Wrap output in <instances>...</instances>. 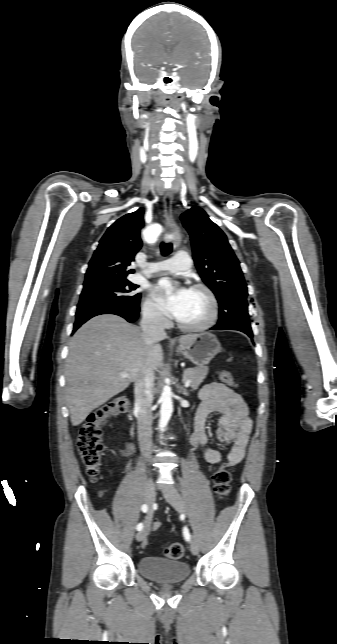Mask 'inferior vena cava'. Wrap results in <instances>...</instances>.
Returning <instances> with one entry per match:
<instances>
[{"label": "inferior vena cava", "instance_id": "1", "mask_svg": "<svg viewBox=\"0 0 337 644\" xmlns=\"http://www.w3.org/2000/svg\"><path fill=\"white\" fill-rule=\"evenodd\" d=\"M161 313L149 310L144 312L141 329L146 344H152L158 339L165 338ZM154 377L150 371L135 383V410L138 421V441L143 455L149 459L152 453V388Z\"/></svg>", "mask_w": 337, "mask_h": 644}]
</instances>
